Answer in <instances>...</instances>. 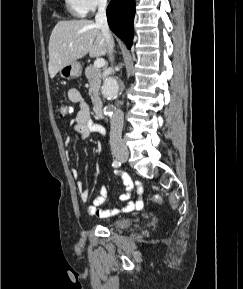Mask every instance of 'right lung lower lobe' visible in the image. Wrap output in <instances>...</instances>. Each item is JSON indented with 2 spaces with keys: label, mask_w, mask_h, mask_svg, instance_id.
<instances>
[{
  "label": "right lung lower lobe",
  "mask_w": 243,
  "mask_h": 289,
  "mask_svg": "<svg viewBox=\"0 0 243 289\" xmlns=\"http://www.w3.org/2000/svg\"><path fill=\"white\" fill-rule=\"evenodd\" d=\"M135 0H111L107 8V19L111 30L130 49L133 42Z\"/></svg>",
  "instance_id": "right-lung-lower-lobe-1"
}]
</instances>
